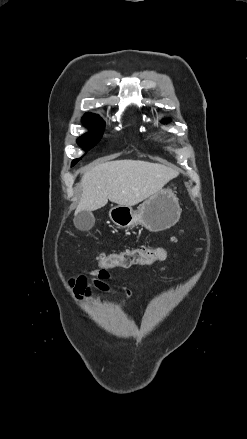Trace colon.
<instances>
[{
  "instance_id": "5ec220e1",
  "label": "colon",
  "mask_w": 247,
  "mask_h": 439,
  "mask_svg": "<svg viewBox=\"0 0 247 439\" xmlns=\"http://www.w3.org/2000/svg\"><path fill=\"white\" fill-rule=\"evenodd\" d=\"M166 256L167 250L163 247L137 248L119 253L100 254L97 258V264L99 270L116 267L128 268L134 265H149L156 261H162Z\"/></svg>"
}]
</instances>
